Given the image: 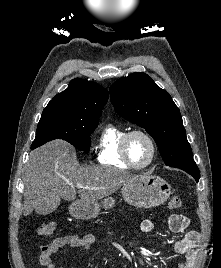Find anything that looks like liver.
Listing matches in <instances>:
<instances>
[{
  "label": "liver",
  "instance_id": "6515ba94",
  "mask_svg": "<svg viewBox=\"0 0 221 268\" xmlns=\"http://www.w3.org/2000/svg\"><path fill=\"white\" fill-rule=\"evenodd\" d=\"M134 176L106 166L81 167L74 148L62 140H53L29 155L24 182L23 215L34 210L47 214V209L60 200L97 201L117 191ZM83 188L76 191L75 186Z\"/></svg>",
  "mask_w": 221,
  "mask_h": 268
}]
</instances>
